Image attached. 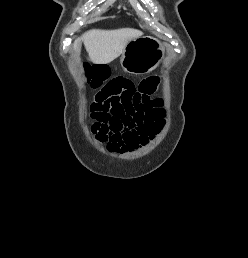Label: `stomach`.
<instances>
[{"mask_svg": "<svg viewBox=\"0 0 248 258\" xmlns=\"http://www.w3.org/2000/svg\"><path fill=\"white\" fill-rule=\"evenodd\" d=\"M165 54L162 43L150 36L130 41L120 57L122 69L130 74L140 75L153 71Z\"/></svg>", "mask_w": 248, "mask_h": 258, "instance_id": "0dacf381", "label": "stomach"}]
</instances>
